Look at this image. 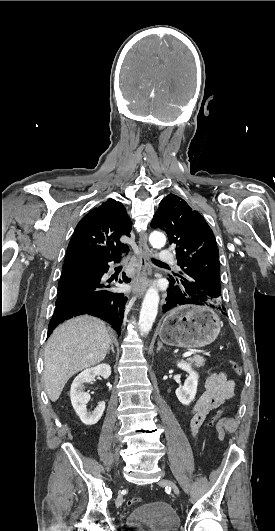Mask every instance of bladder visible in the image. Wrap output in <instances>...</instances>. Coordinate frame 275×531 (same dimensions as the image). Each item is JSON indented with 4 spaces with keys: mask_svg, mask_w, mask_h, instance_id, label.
Here are the masks:
<instances>
[{
    "mask_svg": "<svg viewBox=\"0 0 275 531\" xmlns=\"http://www.w3.org/2000/svg\"><path fill=\"white\" fill-rule=\"evenodd\" d=\"M179 526L178 515L165 502L139 505L129 515V528L137 531H179Z\"/></svg>",
    "mask_w": 275,
    "mask_h": 531,
    "instance_id": "bladder-1",
    "label": "bladder"
}]
</instances>
